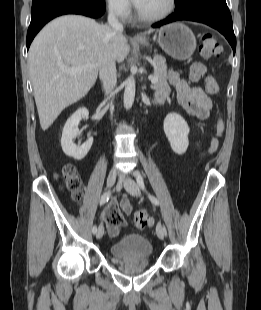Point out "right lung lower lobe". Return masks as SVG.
<instances>
[{
	"instance_id": "right-lung-lower-lobe-1",
	"label": "right lung lower lobe",
	"mask_w": 261,
	"mask_h": 310,
	"mask_svg": "<svg viewBox=\"0 0 261 310\" xmlns=\"http://www.w3.org/2000/svg\"><path fill=\"white\" fill-rule=\"evenodd\" d=\"M104 0H36L32 3L31 23L27 32V48L39 30L51 19L64 14L100 17L104 14Z\"/></svg>"
}]
</instances>
